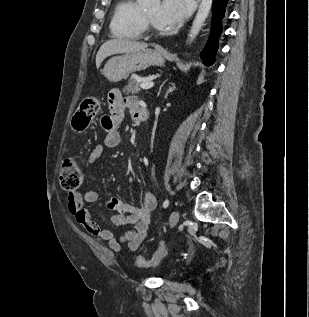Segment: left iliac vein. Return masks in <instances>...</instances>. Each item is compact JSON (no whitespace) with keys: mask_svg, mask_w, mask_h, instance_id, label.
Wrapping results in <instances>:
<instances>
[{"mask_svg":"<svg viewBox=\"0 0 309 317\" xmlns=\"http://www.w3.org/2000/svg\"><path fill=\"white\" fill-rule=\"evenodd\" d=\"M179 218H180V213L178 211H176V210L173 211L171 216H170V219H169L170 228H173L174 226H176V224L179 221Z\"/></svg>","mask_w":309,"mask_h":317,"instance_id":"4c4485c4","label":"left iliac vein"}]
</instances>
